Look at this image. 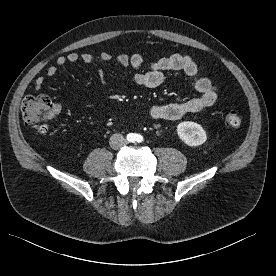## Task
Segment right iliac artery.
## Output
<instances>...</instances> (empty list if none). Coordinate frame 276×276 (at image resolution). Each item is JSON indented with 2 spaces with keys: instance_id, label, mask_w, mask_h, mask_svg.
<instances>
[{
  "instance_id": "right-iliac-artery-1",
  "label": "right iliac artery",
  "mask_w": 276,
  "mask_h": 276,
  "mask_svg": "<svg viewBox=\"0 0 276 276\" xmlns=\"http://www.w3.org/2000/svg\"><path fill=\"white\" fill-rule=\"evenodd\" d=\"M135 135L136 134H133V133H129L126 137L127 141L128 142H134L135 141Z\"/></svg>"
}]
</instances>
